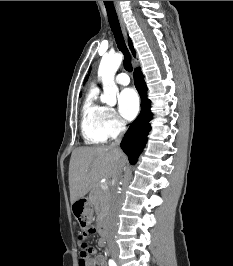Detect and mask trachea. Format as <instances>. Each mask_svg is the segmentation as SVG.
<instances>
[{
	"instance_id": "1",
	"label": "trachea",
	"mask_w": 233,
	"mask_h": 266,
	"mask_svg": "<svg viewBox=\"0 0 233 266\" xmlns=\"http://www.w3.org/2000/svg\"><path fill=\"white\" fill-rule=\"evenodd\" d=\"M104 5H105L106 11H107L108 20H109L111 30H112L114 37H115V41L117 43L119 50L124 55V61H123L124 68L127 71L131 72L132 71V64H131L130 55H129V52L127 50L124 39H123V35L121 32L120 24L118 21L116 10L114 8L113 1H104Z\"/></svg>"
}]
</instances>
